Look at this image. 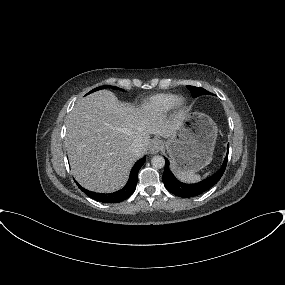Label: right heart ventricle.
<instances>
[{
    "label": "right heart ventricle",
    "instance_id": "obj_1",
    "mask_svg": "<svg viewBox=\"0 0 285 285\" xmlns=\"http://www.w3.org/2000/svg\"><path fill=\"white\" fill-rule=\"evenodd\" d=\"M177 96L171 93H162L151 97L146 103L147 112L160 117L166 115L173 107Z\"/></svg>",
    "mask_w": 285,
    "mask_h": 285
}]
</instances>
